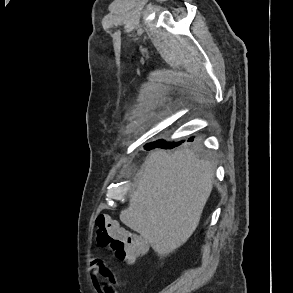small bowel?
I'll return each instance as SVG.
<instances>
[{"instance_id": "1", "label": "small bowel", "mask_w": 293, "mask_h": 293, "mask_svg": "<svg viewBox=\"0 0 293 293\" xmlns=\"http://www.w3.org/2000/svg\"><path fill=\"white\" fill-rule=\"evenodd\" d=\"M91 279L97 293H119L116 290L117 281L113 270L97 258L91 261ZM102 280L106 283L101 284Z\"/></svg>"}]
</instances>
